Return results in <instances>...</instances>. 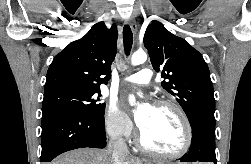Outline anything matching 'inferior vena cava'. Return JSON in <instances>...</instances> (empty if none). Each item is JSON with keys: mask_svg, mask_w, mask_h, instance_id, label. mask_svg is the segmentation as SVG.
I'll use <instances>...</instances> for the list:
<instances>
[{"mask_svg": "<svg viewBox=\"0 0 251 164\" xmlns=\"http://www.w3.org/2000/svg\"><path fill=\"white\" fill-rule=\"evenodd\" d=\"M108 150L112 151L114 164H121L129 154L125 140L119 135H113L111 137Z\"/></svg>", "mask_w": 251, "mask_h": 164, "instance_id": "obj_1", "label": "inferior vena cava"}]
</instances>
